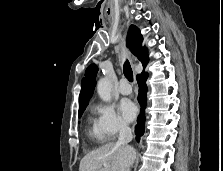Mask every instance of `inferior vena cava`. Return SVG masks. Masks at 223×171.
<instances>
[{"label":"inferior vena cava","instance_id":"obj_1","mask_svg":"<svg viewBox=\"0 0 223 171\" xmlns=\"http://www.w3.org/2000/svg\"><path fill=\"white\" fill-rule=\"evenodd\" d=\"M132 138L133 136L130 127L125 123L120 124L117 145L129 147L128 143L132 140ZM127 171H130V169L128 168Z\"/></svg>","mask_w":223,"mask_h":171}]
</instances>
